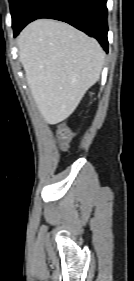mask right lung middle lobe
Here are the masks:
<instances>
[{
  "label": "right lung middle lobe",
  "mask_w": 134,
  "mask_h": 281,
  "mask_svg": "<svg viewBox=\"0 0 134 281\" xmlns=\"http://www.w3.org/2000/svg\"><path fill=\"white\" fill-rule=\"evenodd\" d=\"M31 0H9L13 29H17L22 22L25 10Z\"/></svg>",
  "instance_id": "dd1d6c3e"
}]
</instances>
